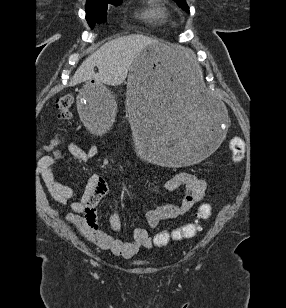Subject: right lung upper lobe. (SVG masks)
<instances>
[{
    "instance_id": "right-lung-upper-lobe-1",
    "label": "right lung upper lobe",
    "mask_w": 286,
    "mask_h": 308,
    "mask_svg": "<svg viewBox=\"0 0 286 308\" xmlns=\"http://www.w3.org/2000/svg\"><path fill=\"white\" fill-rule=\"evenodd\" d=\"M99 1H105V0H87V2H99Z\"/></svg>"
}]
</instances>
